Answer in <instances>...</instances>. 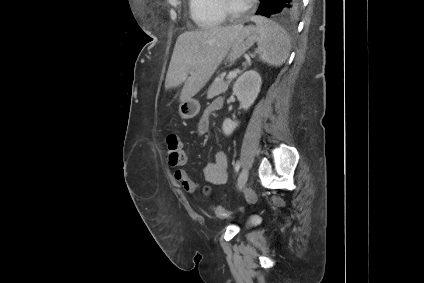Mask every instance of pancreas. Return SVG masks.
Listing matches in <instances>:
<instances>
[{
  "label": "pancreas",
  "mask_w": 424,
  "mask_h": 283,
  "mask_svg": "<svg viewBox=\"0 0 424 283\" xmlns=\"http://www.w3.org/2000/svg\"><path fill=\"white\" fill-rule=\"evenodd\" d=\"M231 79L224 81L222 78H216L212 85L209 87L207 98L212 99L228 89Z\"/></svg>",
  "instance_id": "pancreas-1"
}]
</instances>
